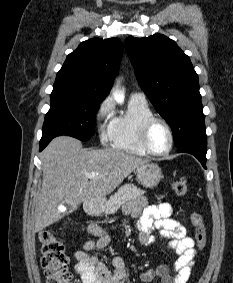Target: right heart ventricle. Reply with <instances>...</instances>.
I'll list each match as a JSON object with an SVG mask.
<instances>
[{
    "label": "right heart ventricle",
    "mask_w": 233,
    "mask_h": 283,
    "mask_svg": "<svg viewBox=\"0 0 233 283\" xmlns=\"http://www.w3.org/2000/svg\"><path fill=\"white\" fill-rule=\"evenodd\" d=\"M153 115L147 102L130 100L127 109L113 117L111 126V146L127 154L145 156L137 138L140 123Z\"/></svg>",
    "instance_id": "obj_1"
}]
</instances>
